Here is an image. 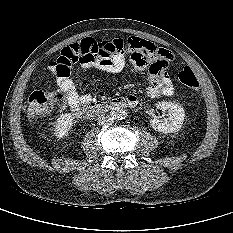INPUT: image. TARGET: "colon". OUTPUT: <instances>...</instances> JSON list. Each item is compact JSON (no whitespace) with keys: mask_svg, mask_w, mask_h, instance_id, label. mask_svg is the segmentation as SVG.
I'll list each match as a JSON object with an SVG mask.
<instances>
[{"mask_svg":"<svg viewBox=\"0 0 233 233\" xmlns=\"http://www.w3.org/2000/svg\"><path fill=\"white\" fill-rule=\"evenodd\" d=\"M126 42L127 40L119 38H87L66 47L53 63L58 74L69 75L71 67L76 63L105 62L115 55H124ZM178 80L192 90H198L200 87L196 74L189 66H185L178 73ZM61 96L62 94L58 91L53 93L40 90L32 92L27 99V114L30 117H37L47 113Z\"/></svg>","mask_w":233,"mask_h":233,"instance_id":"5ec220e1","label":"colon"}]
</instances>
